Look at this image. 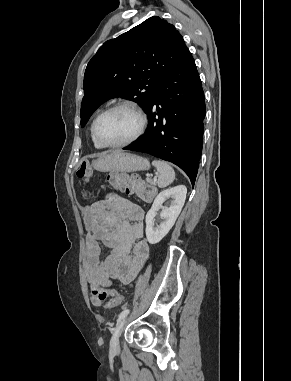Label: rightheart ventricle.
<instances>
[{"label": "right heart ventricle", "instance_id": "1", "mask_svg": "<svg viewBox=\"0 0 291 381\" xmlns=\"http://www.w3.org/2000/svg\"><path fill=\"white\" fill-rule=\"evenodd\" d=\"M94 120H93V122H94ZM93 122H92L91 127H90V134H91V139H92L93 145H94L95 148H98V149L104 148V146L99 144L98 141L94 137V134H93Z\"/></svg>", "mask_w": 291, "mask_h": 381}]
</instances>
